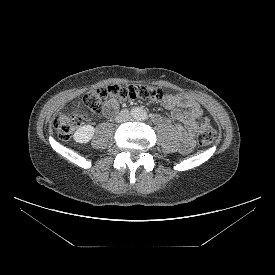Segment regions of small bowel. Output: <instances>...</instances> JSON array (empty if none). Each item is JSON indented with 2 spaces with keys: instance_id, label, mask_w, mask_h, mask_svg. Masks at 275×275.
I'll return each instance as SVG.
<instances>
[{
  "instance_id": "small-bowel-1",
  "label": "small bowel",
  "mask_w": 275,
  "mask_h": 275,
  "mask_svg": "<svg viewBox=\"0 0 275 275\" xmlns=\"http://www.w3.org/2000/svg\"><path fill=\"white\" fill-rule=\"evenodd\" d=\"M163 105L170 111L172 119L177 121L175 130L180 138V151L183 153L190 152L198 128L197 119L203 114L200 104L186 95L169 94L163 100ZM118 110L119 101L111 99L104 105L103 114L106 117H112Z\"/></svg>"
}]
</instances>
